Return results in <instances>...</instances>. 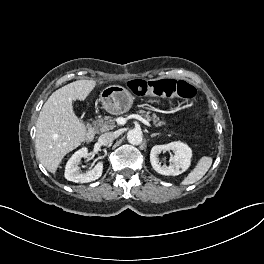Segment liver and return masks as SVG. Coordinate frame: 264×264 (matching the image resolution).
Instances as JSON below:
<instances>
[{"instance_id": "obj_1", "label": "liver", "mask_w": 264, "mask_h": 264, "mask_svg": "<svg viewBox=\"0 0 264 264\" xmlns=\"http://www.w3.org/2000/svg\"><path fill=\"white\" fill-rule=\"evenodd\" d=\"M94 80H78L51 94L36 123V154L55 174L63 157L85 141L86 127L75 115L72 101H83L94 89Z\"/></svg>"}]
</instances>
